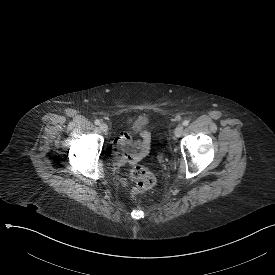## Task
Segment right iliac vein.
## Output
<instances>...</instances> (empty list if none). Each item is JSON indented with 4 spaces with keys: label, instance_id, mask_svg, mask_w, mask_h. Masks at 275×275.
<instances>
[{
    "label": "right iliac vein",
    "instance_id": "obj_1",
    "mask_svg": "<svg viewBox=\"0 0 275 275\" xmlns=\"http://www.w3.org/2000/svg\"><path fill=\"white\" fill-rule=\"evenodd\" d=\"M100 129H101L103 132H106V131H107V129H108L107 124H106V123H102V124H100Z\"/></svg>",
    "mask_w": 275,
    "mask_h": 275
}]
</instances>
